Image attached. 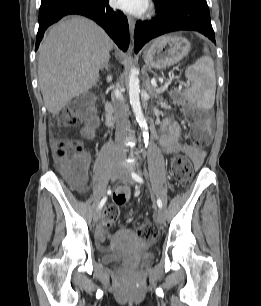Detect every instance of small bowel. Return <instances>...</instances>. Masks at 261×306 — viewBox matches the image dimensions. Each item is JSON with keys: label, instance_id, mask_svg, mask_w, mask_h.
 <instances>
[{"label": "small bowel", "instance_id": "1", "mask_svg": "<svg viewBox=\"0 0 261 306\" xmlns=\"http://www.w3.org/2000/svg\"><path fill=\"white\" fill-rule=\"evenodd\" d=\"M183 133L182 127L169 118L163 120L160 132V144L167 153L186 152L197 168L201 167L205 159V151L194 146L184 145L180 142ZM86 168L90 162V155H84Z\"/></svg>", "mask_w": 261, "mask_h": 306}]
</instances>
